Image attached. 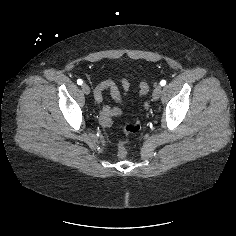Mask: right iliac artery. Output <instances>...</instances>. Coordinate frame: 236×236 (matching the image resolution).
Instances as JSON below:
<instances>
[{"label":"right iliac artery","instance_id":"right-iliac-artery-1","mask_svg":"<svg viewBox=\"0 0 236 236\" xmlns=\"http://www.w3.org/2000/svg\"><path fill=\"white\" fill-rule=\"evenodd\" d=\"M82 83H83V81H82L81 79H78V80H77V84H78V85H82Z\"/></svg>","mask_w":236,"mask_h":236}]
</instances>
